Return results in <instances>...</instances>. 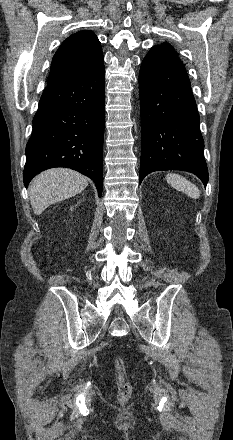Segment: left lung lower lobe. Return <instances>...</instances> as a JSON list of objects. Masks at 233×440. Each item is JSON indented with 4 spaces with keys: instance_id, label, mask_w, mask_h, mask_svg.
<instances>
[{
    "instance_id": "obj_1",
    "label": "left lung lower lobe",
    "mask_w": 233,
    "mask_h": 440,
    "mask_svg": "<svg viewBox=\"0 0 233 440\" xmlns=\"http://www.w3.org/2000/svg\"><path fill=\"white\" fill-rule=\"evenodd\" d=\"M141 183L158 170L195 174L206 186L208 168L200 117L185 67L178 57L149 52L139 75Z\"/></svg>"
}]
</instances>
